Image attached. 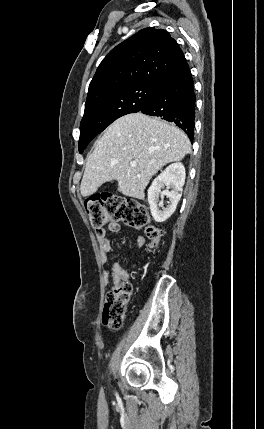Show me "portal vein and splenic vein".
Returning <instances> with one entry per match:
<instances>
[{"mask_svg":"<svg viewBox=\"0 0 264 429\" xmlns=\"http://www.w3.org/2000/svg\"><path fill=\"white\" fill-rule=\"evenodd\" d=\"M130 166L131 167H136L137 166V161H131L130 162Z\"/></svg>","mask_w":264,"mask_h":429,"instance_id":"portal-vein-and-splenic-vein-1","label":"portal vein and splenic vein"}]
</instances>
